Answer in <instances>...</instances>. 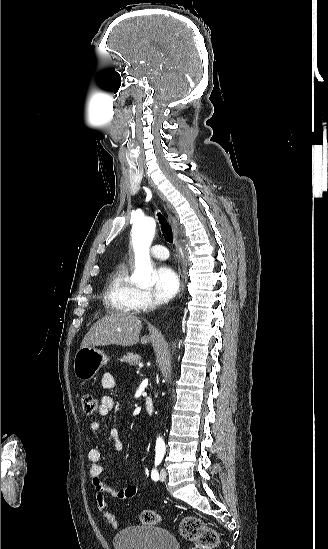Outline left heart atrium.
I'll return each mask as SVG.
<instances>
[{"label": "left heart atrium", "instance_id": "39dd6f15", "mask_svg": "<svg viewBox=\"0 0 328 549\" xmlns=\"http://www.w3.org/2000/svg\"><path fill=\"white\" fill-rule=\"evenodd\" d=\"M178 289V277L170 266H163L156 271L155 292L162 300L171 299Z\"/></svg>", "mask_w": 328, "mask_h": 549}]
</instances>
